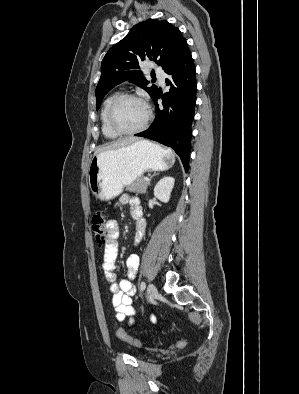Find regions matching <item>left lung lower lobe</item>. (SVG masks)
Listing matches in <instances>:
<instances>
[{"mask_svg":"<svg viewBox=\"0 0 299 394\" xmlns=\"http://www.w3.org/2000/svg\"><path fill=\"white\" fill-rule=\"evenodd\" d=\"M164 71L169 75L166 79L169 91L164 95L157 91L152 98L156 106V117L147 130L135 135L173 148L187 171L191 149V123L196 103L195 65L188 45ZM159 98L163 100L161 107L157 104Z\"/></svg>","mask_w":299,"mask_h":394,"instance_id":"obj_1","label":"left lung lower lobe"}]
</instances>
